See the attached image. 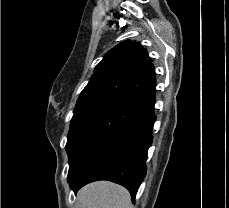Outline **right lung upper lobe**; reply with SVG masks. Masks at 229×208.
<instances>
[{
    "mask_svg": "<svg viewBox=\"0 0 229 208\" xmlns=\"http://www.w3.org/2000/svg\"><path fill=\"white\" fill-rule=\"evenodd\" d=\"M156 76L146 49L126 40L97 64L76 105L103 97H121L145 105L155 102Z\"/></svg>",
    "mask_w": 229,
    "mask_h": 208,
    "instance_id": "cb5924a9",
    "label": "right lung upper lobe"
}]
</instances>
